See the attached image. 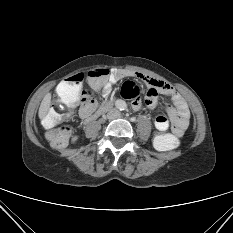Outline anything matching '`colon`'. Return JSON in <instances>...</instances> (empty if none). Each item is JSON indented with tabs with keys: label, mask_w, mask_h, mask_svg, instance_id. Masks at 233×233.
Listing matches in <instances>:
<instances>
[{
	"label": "colon",
	"mask_w": 233,
	"mask_h": 233,
	"mask_svg": "<svg viewBox=\"0 0 233 233\" xmlns=\"http://www.w3.org/2000/svg\"><path fill=\"white\" fill-rule=\"evenodd\" d=\"M108 76L109 70L107 69L90 71L86 76L89 89L85 90H81L85 78L82 73L75 74L60 84L57 91L58 98L55 99L43 120V124L47 129L46 137L53 147H65L72 132L70 125L61 124L65 116L63 107L73 106L80 94L85 103L93 105L95 103L93 90L100 89L107 81ZM134 88L135 83L127 81L122 86V94L128 97ZM154 145L159 150H172L178 147L179 140L171 134H158L154 139Z\"/></svg>",
	"instance_id": "5ec220e1"
}]
</instances>
